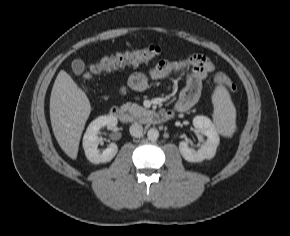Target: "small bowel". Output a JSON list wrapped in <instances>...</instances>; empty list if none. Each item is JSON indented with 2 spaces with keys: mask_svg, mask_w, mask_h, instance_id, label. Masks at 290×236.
Returning <instances> with one entry per match:
<instances>
[{
  "mask_svg": "<svg viewBox=\"0 0 290 236\" xmlns=\"http://www.w3.org/2000/svg\"><path fill=\"white\" fill-rule=\"evenodd\" d=\"M212 61L201 53H192L179 60H162L148 73L135 72L128 80V87L121 90V95L131 91H144L150 81L161 80L175 73L188 71L185 87L174 105L176 111H185L193 107L200 99L205 78L214 71Z\"/></svg>",
  "mask_w": 290,
  "mask_h": 236,
  "instance_id": "obj_1",
  "label": "small bowel"
}]
</instances>
